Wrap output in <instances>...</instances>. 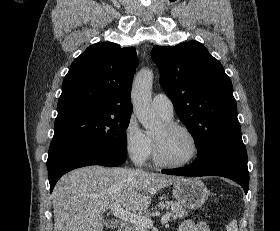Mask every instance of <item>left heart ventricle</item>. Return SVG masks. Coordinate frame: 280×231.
<instances>
[{"mask_svg": "<svg viewBox=\"0 0 280 231\" xmlns=\"http://www.w3.org/2000/svg\"><path fill=\"white\" fill-rule=\"evenodd\" d=\"M162 156L173 162L189 159L194 153L191 137L183 131L169 129L163 124L153 134Z\"/></svg>", "mask_w": 280, "mask_h": 231, "instance_id": "obj_1", "label": "left heart ventricle"}]
</instances>
